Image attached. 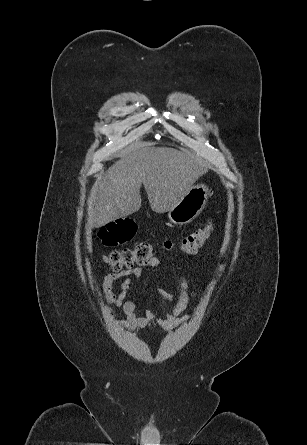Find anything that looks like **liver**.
Listing matches in <instances>:
<instances>
[{"mask_svg":"<svg viewBox=\"0 0 307 445\" xmlns=\"http://www.w3.org/2000/svg\"><path fill=\"white\" fill-rule=\"evenodd\" d=\"M117 156L119 160L104 172L88 200L89 218L96 229L139 210L142 184L152 210L161 214L171 210L207 172L192 154L153 146V142H132Z\"/></svg>","mask_w":307,"mask_h":445,"instance_id":"liver-1","label":"liver"}]
</instances>
